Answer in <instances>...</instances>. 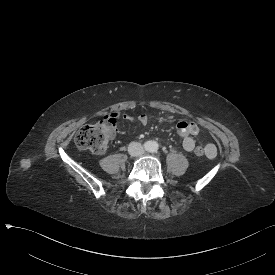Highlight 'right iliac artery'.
Listing matches in <instances>:
<instances>
[{"label": "right iliac artery", "mask_w": 275, "mask_h": 275, "mask_svg": "<svg viewBox=\"0 0 275 275\" xmlns=\"http://www.w3.org/2000/svg\"><path fill=\"white\" fill-rule=\"evenodd\" d=\"M144 148H145L146 150H149V149H150V143H149V142L145 143V144H144Z\"/></svg>", "instance_id": "right-iliac-artery-1"}]
</instances>
